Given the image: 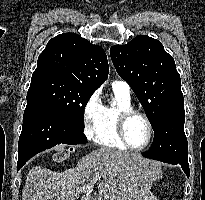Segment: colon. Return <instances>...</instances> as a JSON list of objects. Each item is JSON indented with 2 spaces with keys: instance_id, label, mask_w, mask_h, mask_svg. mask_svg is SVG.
Returning <instances> with one entry per match:
<instances>
[{
  "instance_id": "obj_1",
  "label": "colon",
  "mask_w": 205,
  "mask_h": 200,
  "mask_svg": "<svg viewBox=\"0 0 205 200\" xmlns=\"http://www.w3.org/2000/svg\"><path fill=\"white\" fill-rule=\"evenodd\" d=\"M69 156H70V151H64V152L58 153L55 156V160L58 161V162H63L66 159H68Z\"/></svg>"
}]
</instances>
